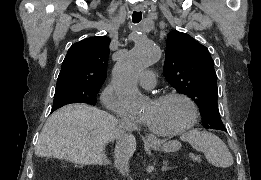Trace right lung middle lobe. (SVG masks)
<instances>
[{
  "instance_id": "1",
  "label": "right lung middle lobe",
  "mask_w": 261,
  "mask_h": 180,
  "mask_svg": "<svg viewBox=\"0 0 261 180\" xmlns=\"http://www.w3.org/2000/svg\"><path fill=\"white\" fill-rule=\"evenodd\" d=\"M101 88L97 85L70 84L57 86L53 101L52 112L64 105L71 103L96 104V95Z\"/></svg>"
}]
</instances>
